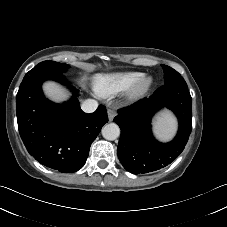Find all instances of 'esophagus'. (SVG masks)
I'll return each mask as SVG.
<instances>
[{"mask_svg": "<svg viewBox=\"0 0 227 227\" xmlns=\"http://www.w3.org/2000/svg\"><path fill=\"white\" fill-rule=\"evenodd\" d=\"M115 116H116V111L113 110V109H108V119H109V121H113Z\"/></svg>", "mask_w": 227, "mask_h": 227, "instance_id": "esophagus-1", "label": "esophagus"}]
</instances>
